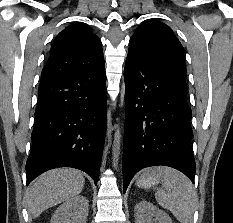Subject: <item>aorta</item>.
Returning <instances> with one entry per match:
<instances>
[{
    "mask_svg": "<svg viewBox=\"0 0 233 223\" xmlns=\"http://www.w3.org/2000/svg\"><path fill=\"white\" fill-rule=\"evenodd\" d=\"M120 149H121V131H120V127H117L114 133V141L112 147V159L114 165H118Z\"/></svg>",
    "mask_w": 233,
    "mask_h": 223,
    "instance_id": "1",
    "label": "aorta"
}]
</instances>
